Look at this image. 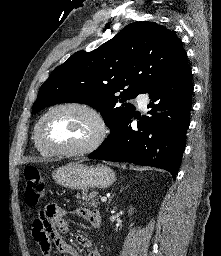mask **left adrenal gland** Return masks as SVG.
<instances>
[{
  "mask_svg": "<svg viewBox=\"0 0 221 256\" xmlns=\"http://www.w3.org/2000/svg\"><path fill=\"white\" fill-rule=\"evenodd\" d=\"M113 196H114V195H113ZM113 196H112V197H113ZM112 197H111V199H112ZM111 199L109 200V202L111 201Z\"/></svg>",
  "mask_w": 221,
  "mask_h": 256,
  "instance_id": "obj_1",
  "label": "left adrenal gland"
}]
</instances>
